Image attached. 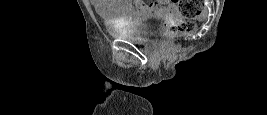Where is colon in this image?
I'll use <instances>...</instances> for the list:
<instances>
[{"label": "colon", "mask_w": 267, "mask_h": 115, "mask_svg": "<svg viewBox=\"0 0 267 115\" xmlns=\"http://www.w3.org/2000/svg\"><path fill=\"white\" fill-rule=\"evenodd\" d=\"M179 4V11L183 17L193 19L201 14L203 5L200 0H172ZM195 24L191 21H182L175 25L168 26L162 38L164 41H171L180 36H185L193 33Z\"/></svg>", "instance_id": "colon-1"}]
</instances>
